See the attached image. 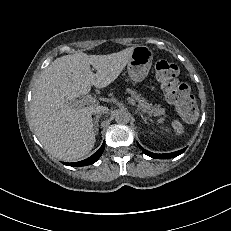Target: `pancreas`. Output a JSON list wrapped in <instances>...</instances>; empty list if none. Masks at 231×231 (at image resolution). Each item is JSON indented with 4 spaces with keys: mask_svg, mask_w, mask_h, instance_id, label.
I'll return each mask as SVG.
<instances>
[{
    "mask_svg": "<svg viewBox=\"0 0 231 231\" xmlns=\"http://www.w3.org/2000/svg\"><path fill=\"white\" fill-rule=\"evenodd\" d=\"M127 92L131 94V96L138 102V108L143 112H147L150 115L154 116H162L165 115V109L158 106H152L150 103L147 102L145 98L140 97L135 91L131 89H127Z\"/></svg>",
    "mask_w": 231,
    "mask_h": 231,
    "instance_id": "cf45deb5",
    "label": "pancreas"
}]
</instances>
